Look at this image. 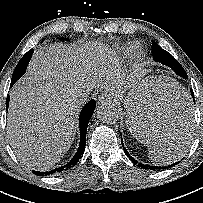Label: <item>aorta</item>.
I'll use <instances>...</instances> for the list:
<instances>
[{"mask_svg": "<svg viewBox=\"0 0 203 203\" xmlns=\"http://www.w3.org/2000/svg\"><path fill=\"white\" fill-rule=\"evenodd\" d=\"M97 117L103 123L112 124L118 120V112L113 105L106 103L97 108Z\"/></svg>", "mask_w": 203, "mask_h": 203, "instance_id": "762f6f07", "label": "aorta"}]
</instances>
